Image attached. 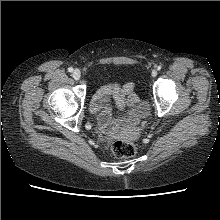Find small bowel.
Here are the masks:
<instances>
[{"label": "small bowel", "instance_id": "obj_1", "mask_svg": "<svg viewBox=\"0 0 220 220\" xmlns=\"http://www.w3.org/2000/svg\"><path fill=\"white\" fill-rule=\"evenodd\" d=\"M135 89L136 86L132 82H128L123 86L118 83H114L102 87V90L98 94V96H112L119 112L121 114H125L128 110H135L136 106L140 102V97L135 92ZM98 100L99 99L97 98H93L90 106V111L92 114L97 116L98 124L101 130L108 133L111 128L109 120L111 117L112 107L108 101L99 104Z\"/></svg>", "mask_w": 220, "mask_h": 220}]
</instances>
